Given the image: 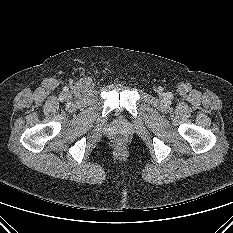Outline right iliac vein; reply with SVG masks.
<instances>
[{
    "instance_id": "right-iliac-vein-1",
    "label": "right iliac vein",
    "mask_w": 233,
    "mask_h": 233,
    "mask_svg": "<svg viewBox=\"0 0 233 233\" xmlns=\"http://www.w3.org/2000/svg\"><path fill=\"white\" fill-rule=\"evenodd\" d=\"M70 98H71V95L67 93V94L65 95V99H66V100H69Z\"/></svg>"
}]
</instances>
